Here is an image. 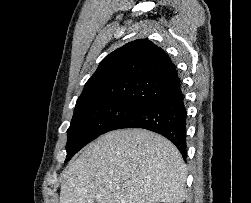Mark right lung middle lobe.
<instances>
[{"mask_svg": "<svg viewBox=\"0 0 251 203\" xmlns=\"http://www.w3.org/2000/svg\"><path fill=\"white\" fill-rule=\"evenodd\" d=\"M140 106L125 103H96L76 105L74 115L67 130V157L70 160L87 143L111 131Z\"/></svg>", "mask_w": 251, "mask_h": 203, "instance_id": "obj_1", "label": "right lung middle lobe"}]
</instances>
